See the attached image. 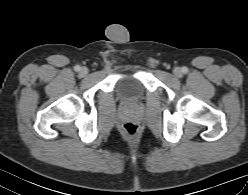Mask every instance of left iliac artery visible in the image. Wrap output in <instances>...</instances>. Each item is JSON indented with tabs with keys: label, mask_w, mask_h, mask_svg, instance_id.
<instances>
[{
	"label": "left iliac artery",
	"mask_w": 248,
	"mask_h": 195,
	"mask_svg": "<svg viewBox=\"0 0 248 195\" xmlns=\"http://www.w3.org/2000/svg\"><path fill=\"white\" fill-rule=\"evenodd\" d=\"M182 72H183V73H187V72H188V69H187L186 67H183V68H182Z\"/></svg>",
	"instance_id": "left-iliac-artery-1"
}]
</instances>
